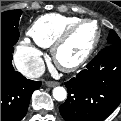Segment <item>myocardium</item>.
Segmentation results:
<instances>
[{"mask_svg": "<svg viewBox=\"0 0 121 121\" xmlns=\"http://www.w3.org/2000/svg\"><path fill=\"white\" fill-rule=\"evenodd\" d=\"M91 23L96 26L97 29V36L92 44V46L89 48V50L77 61L73 63H64L59 59V50L61 47L70 39L72 34L75 32L76 29H78L80 26L83 24ZM102 37V31L101 27L98 23L91 19H80L70 25L68 28H66L59 36L58 38L54 41V43L51 46V54H52V59L54 64L62 71L64 72H74L81 67H83L89 59L92 57L94 52L96 51Z\"/></svg>", "mask_w": 121, "mask_h": 121, "instance_id": "1", "label": "myocardium"}]
</instances>
